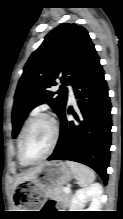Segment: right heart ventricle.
<instances>
[{
    "instance_id": "obj_1",
    "label": "right heart ventricle",
    "mask_w": 123,
    "mask_h": 219,
    "mask_svg": "<svg viewBox=\"0 0 123 219\" xmlns=\"http://www.w3.org/2000/svg\"><path fill=\"white\" fill-rule=\"evenodd\" d=\"M17 148H18V160H19V163H20L22 166H27V164H25V163L20 159V156H19V141H18V144H17Z\"/></svg>"
}]
</instances>
